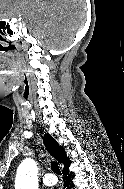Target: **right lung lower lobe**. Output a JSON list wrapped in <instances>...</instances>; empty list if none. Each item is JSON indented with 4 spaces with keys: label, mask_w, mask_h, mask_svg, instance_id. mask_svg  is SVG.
Returning a JSON list of instances; mask_svg holds the SVG:
<instances>
[{
    "label": "right lung lower lobe",
    "mask_w": 124,
    "mask_h": 189,
    "mask_svg": "<svg viewBox=\"0 0 124 189\" xmlns=\"http://www.w3.org/2000/svg\"><path fill=\"white\" fill-rule=\"evenodd\" d=\"M69 165L63 169L64 174V189H72V178L74 177L73 172H69Z\"/></svg>",
    "instance_id": "right-lung-lower-lobe-1"
}]
</instances>
